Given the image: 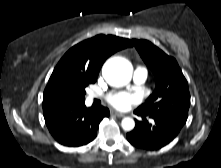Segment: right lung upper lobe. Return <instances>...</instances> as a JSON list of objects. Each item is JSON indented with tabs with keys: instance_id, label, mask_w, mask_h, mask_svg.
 Masks as SVG:
<instances>
[{
	"instance_id": "obj_1",
	"label": "right lung upper lobe",
	"mask_w": 221,
	"mask_h": 168,
	"mask_svg": "<svg viewBox=\"0 0 221 168\" xmlns=\"http://www.w3.org/2000/svg\"><path fill=\"white\" fill-rule=\"evenodd\" d=\"M132 46L130 40L113 35H97L73 46L55 67L45 88L43 104L58 101L51 92L54 78L63 71H78L98 76L105 60L118 50Z\"/></svg>"
}]
</instances>
